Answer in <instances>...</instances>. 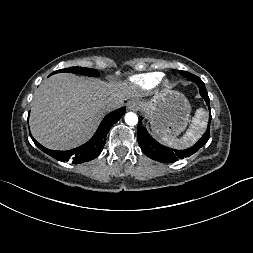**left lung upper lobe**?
<instances>
[{"label":"left lung upper lobe","instance_id":"5c2ea615","mask_svg":"<svg viewBox=\"0 0 253 253\" xmlns=\"http://www.w3.org/2000/svg\"><path fill=\"white\" fill-rule=\"evenodd\" d=\"M179 73L184 76V77H188L191 73L187 72V71H179Z\"/></svg>","mask_w":253,"mask_h":253}]
</instances>
